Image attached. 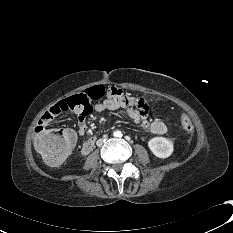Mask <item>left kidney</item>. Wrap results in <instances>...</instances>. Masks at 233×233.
<instances>
[{
    "mask_svg": "<svg viewBox=\"0 0 233 233\" xmlns=\"http://www.w3.org/2000/svg\"><path fill=\"white\" fill-rule=\"evenodd\" d=\"M148 147L158 158H168L174 150L173 142L165 137H154L149 140Z\"/></svg>",
    "mask_w": 233,
    "mask_h": 233,
    "instance_id": "obj_1",
    "label": "left kidney"
}]
</instances>
